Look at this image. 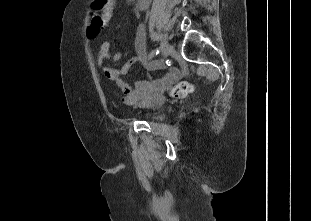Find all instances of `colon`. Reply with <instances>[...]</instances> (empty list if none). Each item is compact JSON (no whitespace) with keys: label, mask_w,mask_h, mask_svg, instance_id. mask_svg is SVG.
<instances>
[{"label":"colon","mask_w":311,"mask_h":221,"mask_svg":"<svg viewBox=\"0 0 311 221\" xmlns=\"http://www.w3.org/2000/svg\"><path fill=\"white\" fill-rule=\"evenodd\" d=\"M113 0H95L90 6V17L95 25H88V39H97V32H102L109 20L110 8ZM194 91V85L190 80H182L175 84L170 90L172 98H184Z\"/></svg>","instance_id":"colon-1"}]
</instances>
